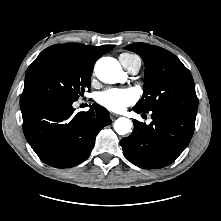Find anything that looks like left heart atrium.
<instances>
[{"mask_svg":"<svg viewBox=\"0 0 221 221\" xmlns=\"http://www.w3.org/2000/svg\"><path fill=\"white\" fill-rule=\"evenodd\" d=\"M136 100L137 93L132 88H110L100 92L97 97L101 106L113 112H122Z\"/></svg>","mask_w":221,"mask_h":221,"instance_id":"1","label":"left heart atrium"}]
</instances>
